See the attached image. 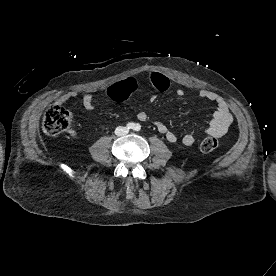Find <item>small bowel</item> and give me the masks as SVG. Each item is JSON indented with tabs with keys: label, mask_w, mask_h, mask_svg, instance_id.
<instances>
[{
	"label": "small bowel",
	"mask_w": 276,
	"mask_h": 276,
	"mask_svg": "<svg viewBox=\"0 0 276 276\" xmlns=\"http://www.w3.org/2000/svg\"><path fill=\"white\" fill-rule=\"evenodd\" d=\"M149 84L156 90L164 91L169 88V82L168 79L159 72H152L148 76ZM139 87V79L131 78L127 79L123 82L116 83L113 86L110 87L108 90V95L115 99V100H123L127 98L129 95L134 93ZM175 93L178 96H182L184 94V90L182 88H177L175 90ZM199 96L201 98L210 100L215 103L216 110L208 124V126L204 129V132L207 135L213 136V137H222L224 136L230 125L233 122V117L230 112L229 104L226 102V100L217 94L216 92L201 89L198 92ZM77 93L74 91H69L66 93H63L56 99L57 104H64L70 100H73L76 98ZM82 103L83 106L91 110L94 108V94L93 93H85L82 96ZM137 118L141 122H152V124L155 126V128L158 130L159 133L163 134L166 138V140L169 143H175L178 140L177 135L168 128V126L159 119H151L150 116L146 112H139L137 114ZM182 143L186 146H191L195 143L196 137L193 134H185L182 139Z\"/></svg>",
	"instance_id": "obj_1"
}]
</instances>
